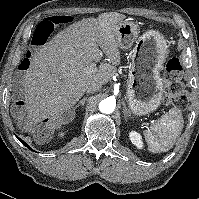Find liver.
Masks as SVG:
<instances>
[{
  "label": "liver",
  "instance_id": "6515ba94",
  "mask_svg": "<svg viewBox=\"0 0 199 199\" xmlns=\"http://www.w3.org/2000/svg\"><path fill=\"white\" fill-rule=\"evenodd\" d=\"M125 18L106 12L97 18H86L59 32L30 58V66L15 88L25 104L22 114L14 115L24 130L51 139L55 129L74 118L73 106L92 83L107 84L117 73L120 51L115 27ZM103 54L109 63L95 69L91 63ZM48 122L43 125V120Z\"/></svg>",
  "mask_w": 199,
  "mask_h": 199
}]
</instances>
